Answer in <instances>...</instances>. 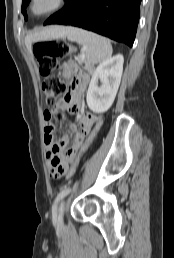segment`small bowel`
Returning a JSON list of instances; mask_svg holds the SVG:
<instances>
[{"label":"small bowel","instance_id":"1","mask_svg":"<svg viewBox=\"0 0 174 258\" xmlns=\"http://www.w3.org/2000/svg\"><path fill=\"white\" fill-rule=\"evenodd\" d=\"M63 74L72 77L75 81L73 92L66 98L58 103V107L63 110H68L75 113L79 110L81 105V97L87 84L89 83L90 76L87 72L82 70L75 61H68L63 65ZM84 117H93V112H84ZM45 146H46V159L50 165L49 177L51 183H62L64 175H68L69 161H74L73 157L76 156L77 150L80 148L83 137L82 134H90L95 123V118H79L80 133H77L74 140L68 145V139L63 137L60 140H55L53 136L54 125L51 122L50 112H45ZM75 130V126H72ZM68 145V146H67ZM67 146V147H66ZM57 147H63L60 151ZM64 147H66L65 150Z\"/></svg>","mask_w":174,"mask_h":258}]
</instances>
